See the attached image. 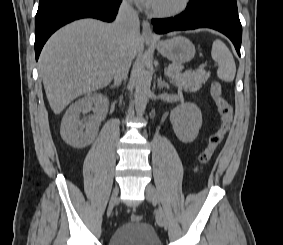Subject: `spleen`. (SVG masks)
Returning a JSON list of instances; mask_svg holds the SVG:
<instances>
[{
  "mask_svg": "<svg viewBox=\"0 0 283 245\" xmlns=\"http://www.w3.org/2000/svg\"><path fill=\"white\" fill-rule=\"evenodd\" d=\"M212 59L218 64L217 76L225 82H232L236 74L233 56L221 40H215L211 51Z\"/></svg>",
  "mask_w": 283,
  "mask_h": 245,
  "instance_id": "obj_1",
  "label": "spleen"
}]
</instances>
